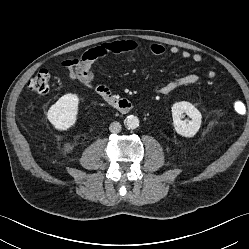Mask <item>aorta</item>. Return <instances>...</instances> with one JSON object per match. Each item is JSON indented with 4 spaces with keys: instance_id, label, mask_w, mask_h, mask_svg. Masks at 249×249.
Masks as SVG:
<instances>
[{
    "instance_id": "1",
    "label": "aorta",
    "mask_w": 249,
    "mask_h": 249,
    "mask_svg": "<svg viewBox=\"0 0 249 249\" xmlns=\"http://www.w3.org/2000/svg\"><path fill=\"white\" fill-rule=\"evenodd\" d=\"M124 124L128 129H136L139 126V119L137 116L129 115L126 117Z\"/></svg>"
}]
</instances>
